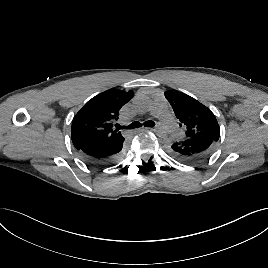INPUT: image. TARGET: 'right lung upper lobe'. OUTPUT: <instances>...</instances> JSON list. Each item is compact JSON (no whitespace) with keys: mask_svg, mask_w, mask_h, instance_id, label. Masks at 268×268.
I'll list each match as a JSON object with an SVG mask.
<instances>
[{"mask_svg":"<svg viewBox=\"0 0 268 268\" xmlns=\"http://www.w3.org/2000/svg\"><path fill=\"white\" fill-rule=\"evenodd\" d=\"M134 93L109 89L90 99L75 115L71 127V139L78 149L86 145L109 144L124 138L113 123L119 110Z\"/></svg>","mask_w":268,"mask_h":268,"instance_id":"obj_1","label":"right lung upper lobe"}]
</instances>
